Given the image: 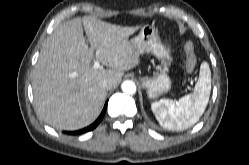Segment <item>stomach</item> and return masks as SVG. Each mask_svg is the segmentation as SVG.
Segmentation results:
<instances>
[{"label":"stomach","instance_id":"0dacf381","mask_svg":"<svg viewBox=\"0 0 249 165\" xmlns=\"http://www.w3.org/2000/svg\"><path fill=\"white\" fill-rule=\"evenodd\" d=\"M130 43L139 54L152 53L161 61L162 68L155 76L141 78L142 85L147 90L148 98L156 99L170 91L172 81L167 72L173 58L170 46L162 43L158 30L154 26L144 25L141 27L139 34L131 39Z\"/></svg>","mask_w":249,"mask_h":165}]
</instances>
